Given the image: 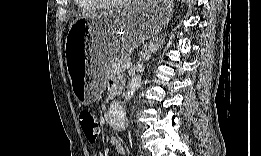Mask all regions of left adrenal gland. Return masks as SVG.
<instances>
[{
  "mask_svg": "<svg viewBox=\"0 0 261 156\" xmlns=\"http://www.w3.org/2000/svg\"><path fill=\"white\" fill-rule=\"evenodd\" d=\"M163 40H158L157 39H153L149 45L146 47V49L144 50V52L141 54V59L144 61H148L152 54H154L158 49L159 46L161 45Z\"/></svg>",
  "mask_w": 261,
  "mask_h": 156,
  "instance_id": "a2214340",
  "label": "left adrenal gland"
}]
</instances>
